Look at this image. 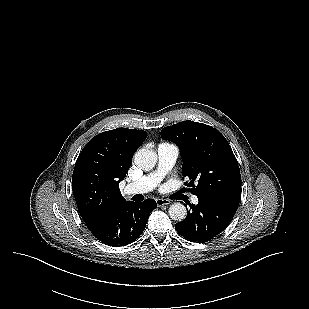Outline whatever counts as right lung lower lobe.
Here are the masks:
<instances>
[{"label":"right lung lower lobe","mask_w":309,"mask_h":309,"mask_svg":"<svg viewBox=\"0 0 309 309\" xmlns=\"http://www.w3.org/2000/svg\"><path fill=\"white\" fill-rule=\"evenodd\" d=\"M156 207V202L152 199L140 203L125 201L108 210L88 229L106 245H128L142 234L150 212Z\"/></svg>","instance_id":"obj_1"}]
</instances>
